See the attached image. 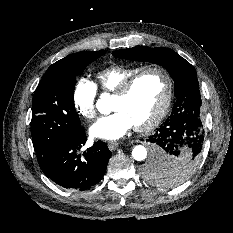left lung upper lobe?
<instances>
[{
    "label": "left lung upper lobe",
    "instance_id": "5c2ea615",
    "mask_svg": "<svg viewBox=\"0 0 233 233\" xmlns=\"http://www.w3.org/2000/svg\"><path fill=\"white\" fill-rule=\"evenodd\" d=\"M112 54L121 59L158 64L169 72L174 80L176 103L166 121L182 115L200 119L202 102L196 70L175 51L165 47H134ZM199 161L200 158L193 156L169 159L153 170L146 169L144 176L149 181H169L170 185H176L192 175Z\"/></svg>",
    "mask_w": 233,
    "mask_h": 233
}]
</instances>
